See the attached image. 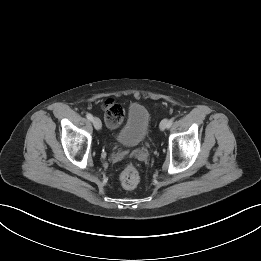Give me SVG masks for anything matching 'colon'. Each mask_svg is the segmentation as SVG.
<instances>
[{
  "label": "colon",
  "instance_id": "5ec220e1",
  "mask_svg": "<svg viewBox=\"0 0 261 261\" xmlns=\"http://www.w3.org/2000/svg\"><path fill=\"white\" fill-rule=\"evenodd\" d=\"M105 121L109 127H118L124 119V109L121 105L112 100H108L104 105ZM121 185L126 189L135 188L140 182V173L138 169L128 164L120 174Z\"/></svg>",
  "mask_w": 261,
  "mask_h": 261
}]
</instances>
